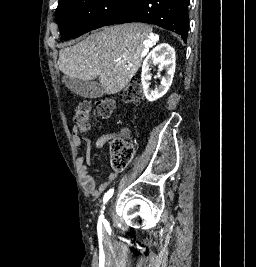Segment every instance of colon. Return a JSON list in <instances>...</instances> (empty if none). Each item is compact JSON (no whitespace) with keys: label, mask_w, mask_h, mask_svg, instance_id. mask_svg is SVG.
Returning <instances> with one entry per match:
<instances>
[{"label":"colon","mask_w":256,"mask_h":267,"mask_svg":"<svg viewBox=\"0 0 256 267\" xmlns=\"http://www.w3.org/2000/svg\"><path fill=\"white\" fill-rule=\"evenodd\" d=\"M143 98L141 84L138 80H132L127 87L120 93V101L124 104L139 103ZM116 108V102L113 99H104L98 102L96 112L98 117L108 119L112 116ZM92 105L89 101L79 103L75 109L73 121L76 129L84 133L90 127ZM111 147V165L115 169H123L127 166L134 154V148L131 145L112 142Z\"/></svg>","instance_id":"obj_1"}]
</instances>
